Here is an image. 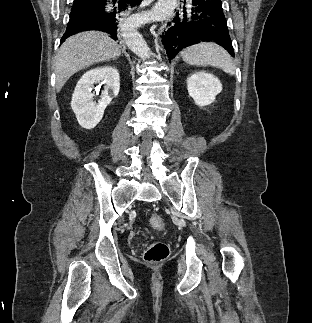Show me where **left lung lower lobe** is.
Listing matches in <instances>:
<instances>
[{
    "mask_svg": "<svg viewBox=\"0 0 312 323\" xmlns=\"http://www.w3.org/2000/svg\"><path fill=\"white\" fill-rule=\"evenodd\" d=\"M161 37L169 59L187 46L211 41L234 56L221 0H192L190 7L175 13Z\"/></svg>",
    "mask_w": 312,
    "mask_h": 323,
    "instance_id": "0a47b994",
    "label": "left lung lower lobe"
}]
</instances>
